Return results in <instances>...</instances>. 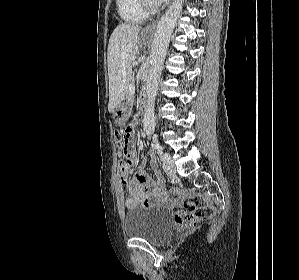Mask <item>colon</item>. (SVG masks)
Returning a JSON list of instances; mask_svg holds the SVG:
<instances>
[{
    "label": "colon",
    "instance_id": "1",
    "mask_svg": "<svg viewBox=\"0 0 299 280\" xmlns=\"http://www.w3.org/2000/svg\"><path fill=\"white\" fill-rule=\"evenodd\" d=\"M131 135L132 131L129 128L115 132L118 151L122 158L119 169L120 178L123 181H126L135 164L131 147ZM214 213V208L205 205L199 196H192L185 202L183 209L174 212V220L182 227H194L212 218Z\"/></svg>",
    "mask_w": 299,
    "mask_h": 280
}]
</instances>
